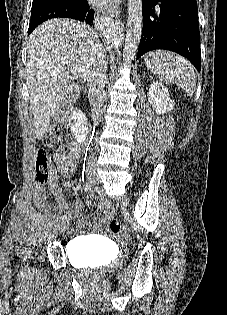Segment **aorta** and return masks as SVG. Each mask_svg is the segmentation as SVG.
Segmentation results:
<instances>
[{"label": "aorta", "instance_id": "1", "mask_svg": "<svg viewBox=\"0 0 227 315\" xmlns=\"http://www.w3.org/2000/svg\"><path fill=\"white\" fill-rule=\"evenodd\" d=\"M143 15L142 0H128V20L125 37L113 22H107L104 35L113 46H119L124 41L123 60L130 62L138 49L142 35Z\"/></svg>", "mask_w": 227, "mask_h": 315}]
</instances>
